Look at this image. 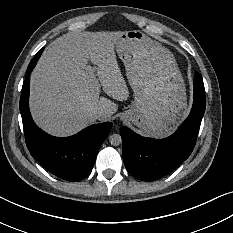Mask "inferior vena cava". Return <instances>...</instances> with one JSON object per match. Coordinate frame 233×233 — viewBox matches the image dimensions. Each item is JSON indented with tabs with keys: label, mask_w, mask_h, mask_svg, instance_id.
I'll return each instance as SVG.
<instances>
[{
	"label": "inferior vena cava",
	"mask_w": 233,
	"mask_h": 233,
	"mask_svg": "<svg viewBox=\"0 0 233 233\" xmlns=\"http://www.w3.org/2000/svg\"><path fill=\"white\" fill-rule=\"evenodd\" d=\"M103 115H104V110H103V109H98V110H96L95 113H94V117H95L96 119L102 118Z\"/></svg>",
	"instance_id": "obj_1"
}]
</instances>
